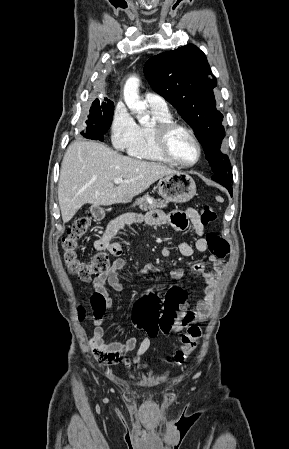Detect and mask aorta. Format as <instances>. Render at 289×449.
Returning a JSON list of instances; mask_svg holds the SVG:
<instances>
[{"label": "aorta", "instance_id": "aorta-1", "mask_svg": "<svg viewBox=\"0 0 289 449\" xmlns=\"http://www.w3.org/2000/svg\"><path fill=\"white\" fill-rule=\"evenodd\" d=\"M140 80L137 76H130L124 86V101L128 108L136 112L139 122H147L149 116L145 114L146 104L139 97Z\"/></svg>", "mask_w": 289, "mask_h": 449}]
</instances>
